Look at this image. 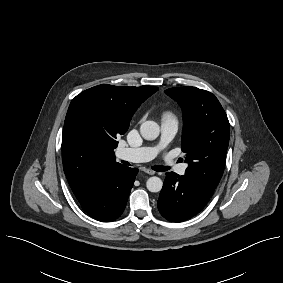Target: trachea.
Instances as JSON below:
<instances>
[{"label":"trachea","mask_w":283,"mask_h":283,"mask_svg":"<svg viewBox=\"0 0 283 283\" xmlns=\"http://www.w3.org/2000/svg\"><path fill=\"white\" fill-rule=\"evenodd\" d=\"M152 169L157 172H164V171L169 170V167L163 166V165H156V166H153Z\"/></svg>","instance_id":"3493384b"}]
</instances>
